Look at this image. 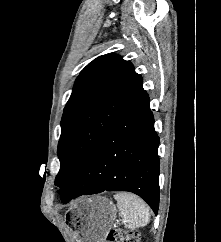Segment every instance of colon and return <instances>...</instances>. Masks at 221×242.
Here are the masks:
<instances>
[{"instance_id":"5ec220e1","label":"colon","mask_w":221,"mask_h":242,"mask_svg":"<svg viewBox=\"0 0 221 242\" xmlns=\"http://www.w3.org/2000/svg\"><path fill=\"white\" fill-rule=\"evenodd\" d=\"M106 242H140V235L136 230L113 228L108 232Z\"/></svg>"}]
</instances>
